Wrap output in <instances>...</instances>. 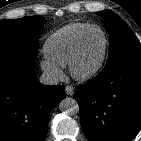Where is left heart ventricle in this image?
<instances>
[{
    "label": "left heart ventricle",
    "mask_w": 141,
    "mask_h": 141,
    "mask_svg": "<svg viewBox=\"0 0 141 141\" xmlns=\"http://www.w3.org/2000/svg\"><path fill=\"white\" fill-rule=\"evenodd\" d=\"M104 48V37L99 30H91L85 37L77 69L81 72L92 69L100 60Z\"/></svg>",
    "instance_id": "1"
}]
</instances>
